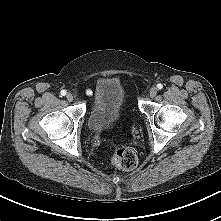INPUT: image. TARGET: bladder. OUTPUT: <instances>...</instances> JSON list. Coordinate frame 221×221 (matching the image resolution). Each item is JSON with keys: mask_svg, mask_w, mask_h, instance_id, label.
Wrapping results in <instances>:
<instances>
[{"mask_svg": "<svg viewBox=\"0 0 221 221\" xmlns=\"http://www.w3.org/2000/svg\"><path fill=\"white\" fill-rule=\"evenodd\" d=\"M125 93L114 78H103L95 91L93 105L88 116V127L99 134L113 127L122 118Z\"/></svg>", "mask_w": 221, "mask_h": 221, "instance_id": "1", "label": "bladder"}]
</instances>
